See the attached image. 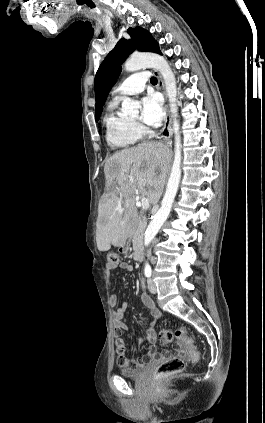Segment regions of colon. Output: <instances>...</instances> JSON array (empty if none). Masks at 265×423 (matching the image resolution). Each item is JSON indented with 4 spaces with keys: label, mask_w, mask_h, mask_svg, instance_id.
<instances>
[{
    "label": "colon",
    "mask_w": 265,
    "mask_h": 423,
    "mask_svg": "<svg viewBox=\"0 0 265 423\" xmlns=\"http://www.w3.org/2000/svg\"><path fill=\"white\" fill-rule=\"evenodd\" d=\"M107 260L109 264L115 265L119 262V256L116 252L111 251L107 254ZM158 337L162 343H170L176 339L179 347L183 348L186 354H189L192 358H197V353L192 349V341L185 327H180L175 332L163 328L159 331ZM120 364L124 367H135L130 362H121ZM183 369L184 360L180 357H172L159 365L155 372V378L161 380L167 376L179 373Z\"/></svg>",
    "instance_id": "5ec220e1"
}]
</instances>
